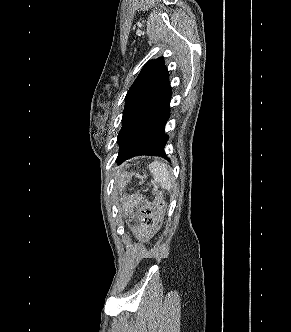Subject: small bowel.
I'll use <instances>...</instances> for the list:
<instances>
[{
	"instance_id": "c3829d8e",
	"label": "small bowel",
	"mask_w": 291,
	"mask_h": 332,
	"mask_svg": "<svg viewBox=\"0 0 291 332\" xmlns=\"http://www.w3.org/2000/svg\"><path fill=\"white\" fill-rule=\"evenodd\" d=\"M138 235L142 238H145L149 235V231L148 230H145V229H139L137 231Z\"/></svg>"
}]
</instances>
